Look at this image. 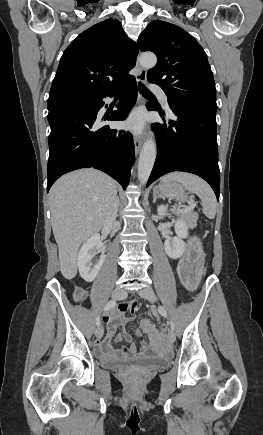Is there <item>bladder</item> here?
Returning <instances> with one entry per match:
<instances>
[{
  "instance_id": "obj_1",
  "label": "bladder",
  "mask_w": 263,
  "mask_h": 435,
  "mask_svg": "<svg viewBox=\"0 0 263 435\" xmlns=\"http://www.w3.org/2000/svg\"><path fill=\"white\" fill-rule=\"evenodd\" d=\"M136 364L143 367H149V368H159L163 367L168 363V359L164 357H143L135 360H108L104 361V366L106 368H120L127 364Z\"/></svg>"
}]
</instances>
